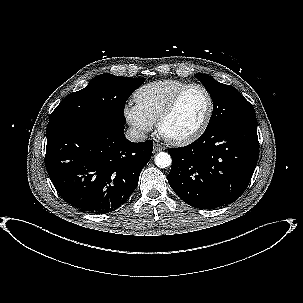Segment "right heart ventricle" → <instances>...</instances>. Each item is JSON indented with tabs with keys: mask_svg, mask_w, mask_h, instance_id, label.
<instances>
[{
	"mask_svg": "<svg viewBox=\"0 0 303 303\" xmlns=\"http://www.w3.org/2000/svg\"><path fill=\"white\" fill-rule=\"evenodd\" d=\"M189 83L180 80H163L142 86L134 100L142 113L154 124L171 99Z\"/></svg>",
	"mask_w": 303,
	"mask_h": 303,
	"instance_id": "1",
	"label": "right heart ventricle"
}]
</instances>
